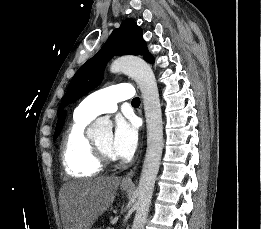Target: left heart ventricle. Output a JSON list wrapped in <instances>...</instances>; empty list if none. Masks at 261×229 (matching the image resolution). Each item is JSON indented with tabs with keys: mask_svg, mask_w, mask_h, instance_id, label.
<instances>
[{
	"mask_svg": "<svg viewBox=\"0 0 261 229\" xmlns=\"http://www.w3.org/2000/svg\"><path fill=\"white\" fill-rule=\"evenodd\" d=\"M112 136L111 134H107L99 139L97 142L104 150L111 154L110 146H111Z\"/></svg>",
	"mask_w": 261,
	"mask_h": 229,
	"instance_id": "1",
	"label": "left heart ventricle"
}]
</instances>
